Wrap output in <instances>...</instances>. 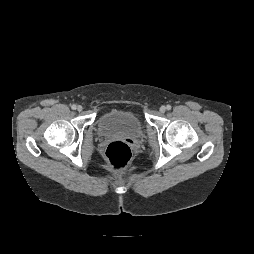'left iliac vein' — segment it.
I'll use <instances>...</instances> for the list:
<instances>
[{"mask_svg":"<svg viewBox=\"0 0 254 254\" xmlns=\"http://www.w3.org/2000/svg\"><path fill=\"white\" fill-rule=\"evenodd\" d=\"M159 111H160L161 113H164V112L166 111V107H165V106H161L160 109H159Z\"/></svg>","mask_w":254,"mask_h":254,"instance_id":"obj_1","label":"left iliac vein"}]
</instances>
